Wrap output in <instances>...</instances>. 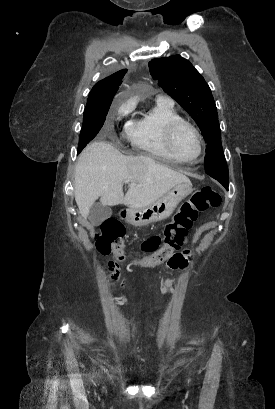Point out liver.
<instances>
[{
	"mask_svg": "<svg viewBox=\"0 0 275 409\" xmlns=\"http://www.w3.org/2000/svg\"><path fill=\"white\" fill-rule=\"evenodd\" d=\"M131 178L126 194L123 184ZM150 156H125L109 142H91L82 150L75 168V200L81 217H88L95 200L101 205H126L141 209L158 200L179 182H188ZM140 184V186H138Z\"/></svg>",
	"mask_w": 275,
	"mask_h": 409,
	"instance_id": "1",
	"label": "liver"
}]
</instances>
